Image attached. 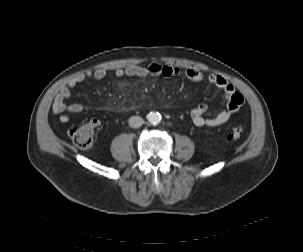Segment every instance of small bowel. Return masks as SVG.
Instances as JSON below:
<instances>
[{"mask_svg":"<svg viewBox=\"0 0 303 252\" xmlns=\"http://www.w3.org/2000/svg\"><path fill=\"white\" fill-rule=\"evenodd\" d=\"M109 71L106 69L89 70L74 77L67 85H64L56 94L52 103V112L59 115V121L63 124L69 122V113H80L88 110L89 107L74 103L67 105L66 100L71 95V90L82 83L87 78H94L101 80L108 75ZM114 75L117 77H140L147 76H163L171 77L180 75L181 70L171 64L153 63L148 66L130 65L125 68L114 70ZM183 74L193 80H204L220 89L227 97V103L224 109L215 110L210 116H206V106L200 104L193 108L190 112V119L195 126L198 127H216L226 123L231 116L236 113L244 103V97L239 93L233 84L228 82L225 78L217 74H210L205 77L201 72L196 70L184 71Z\"/></svg>","mask_w":303,"mask_h":252,"instance_id":"obj_1","label":"small bowel"}]
</instances>
